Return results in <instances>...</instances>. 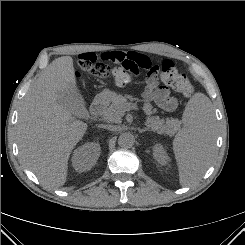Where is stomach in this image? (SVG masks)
<instances>
[{
  "mask_svg": "<svg viewBox=\"0 0 245 245\" xmlns=\"http://www.w3.org/2000/svg\"><path fill=\"white\" fill-rule=\"evenodd\" d=\"M104 94H105L106 96H108L109 98H113V97H114V93L111 92V91H105Z\"/></svg>",
  "mask_w": 245,
  "mask_h": 245,
  "instance_id": "obj_1",
  "label": "stomach"
}]
</instances>
